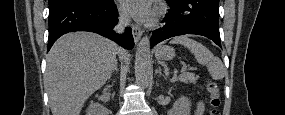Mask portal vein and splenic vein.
I'll return each mask as SVG.
<instances>
[{
  "label": "portal vein and splenic vein",
  "instance_id": "1",
  "mask_svg": "<svg viewBox=\"0 0 285 115\" xmlns=\"http://www.w3.org/2000/svg\"><path fill=\"white\" fill-rule=\"evenodd\" d=\"M186 69H187V65H186V63H183V67L181 69V72L185 71Z\"/></svg>",
  "mask_w": 285,
  "mask_h": 115
}]
</instances>
